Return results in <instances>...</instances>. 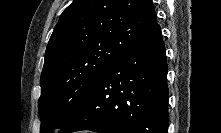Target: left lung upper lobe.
Listing matches in <instances>:
<instances>
[{"instance_id":"left-lung-upper-lobe-1","label":"left lung upper lobe","mask_w":221,"mask_h":133,"mask_svg":"<svg viewBox=\"0 0 221 133\" xmlns=\"http://www.w3.org/2000/svg\"><path fill=\"white\" fill-rule=\"evenodd\" d=\"M156 20L152 0H74L61 14L46 49L40 132L67 125L109 65Z\"/></svg>"}]
</instances>
